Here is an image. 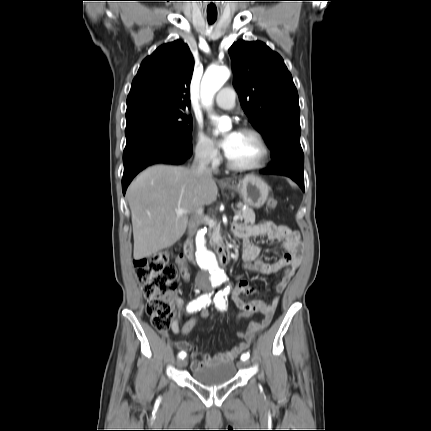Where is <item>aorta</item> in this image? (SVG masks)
<instances>
[{"label":"aorta","mask_w":431,"mask_h":431,"mask_svg":"<svg viewBox=\"0 0 431 431\" xmlns=\"http://www.w3.org/2000/svg\"><path fill=\"white\" fill-rule=\"evenodd\" d=\"M230 76L227 67H209L201 81V101L204 105H211L215 93L224 85ZM217 119L216 117H212ZM228 128V124L220 120L216 133L223 132ZM209 231L203 228L197 232L196 241V261L198 265L207 273L209 283L220 284L226 279L224 271L219 267L215 254L207 246Z\"/></svg>","instance_id":"762f6f07"}]
</instances>
